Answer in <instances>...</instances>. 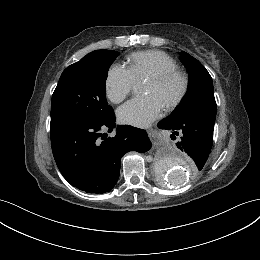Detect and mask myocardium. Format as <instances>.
Segmentation results:
<instances>
[{
  "mask_svg": "<svg viewBox=\"0 0 260 260\" xmlns=\"http://www.w3.org/2000/svg\"><path fill=\"white\" fill-rule=\"evenodd\" d=\"M173 78H179L181 85L178 92L165 103L166 107H173L177 105L185 96L189 86V80L187 75L178 69H174L158 73L148 78L149 82H152L156 85L164 84Z\"/></svg>",
  "mask_w": 260,
  "mask_h": 260,
  "instance_id": "1",
  "label": "myocardium"
}]
</instances>
